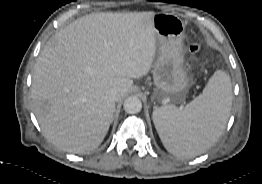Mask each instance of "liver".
Returning <instances> with one entry per match:
<instances>
[{
  "mask_svg": "<svg viewBox=\"0 0 262 184\" xmlns=\"http://www.w3.org/2000/svg\"><path fill=\"white\" fill-rule=\"evenodd\" d=\"M155 13L101 12L54 34L34 66L31 97L45 137L71 153L97 148L108 133L115 104L133 78L148 74L156 55Z\"/></svg>",
  "mask_w": 262,
  "mask_h": 184,
  "instance_id": "1",
  "label": "liver"
}]
</instances>
